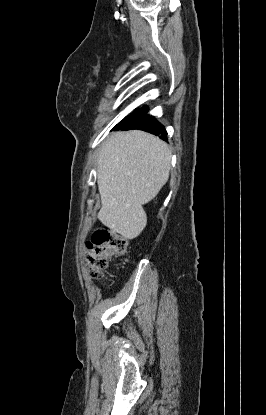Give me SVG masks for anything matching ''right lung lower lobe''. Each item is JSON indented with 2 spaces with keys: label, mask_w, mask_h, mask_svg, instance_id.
Masks as SVG:
<instances>
[{
  "label": "right lung lower lobe",
  "mask_w": 266,
  "mask_h": 415,
  "mask_svg": "<svg viewBox=\"0 0 266 415\" xmlns=\"http://www.w3.org/2000/svg\"><path fill=\"white\" fill-rule=\"evenodd\" d=\"M147 110V107L136 110L123 124V126H121V128L124 130H143L159 136L160 139L167 141V132L164 126L153 116L147 115ZM116 127L118 128L119 126L117 125Z\"/></svg>",
  "instance_id": "obj_1"
}]
</instances>
